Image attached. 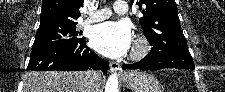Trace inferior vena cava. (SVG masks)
I'll return each mask as SVG.
<instances>
[{"mask_svg":"<svg viewBox=\"0 0 225 92\" xmlns=\"http://www.w3.org/2000/svg\"><path fill=\"white\" fill-rule=\"evenodd\" d=\"M93 92H96L97 90H92Z\"/></svg>","mask_w":225,"mask_h":92,"instance_id":"1","label":"inferior vena cava"}]
</instances>
